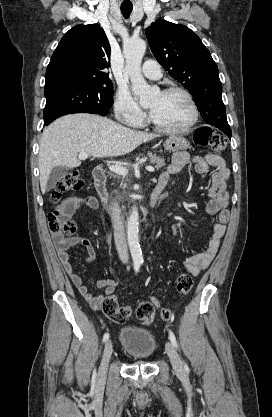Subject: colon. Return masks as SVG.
Masks as SVG:
<instances>
[{
  "label": "colon",
  "mask_w": 272,
  "mask_h": 417,
  "mask_svg": "<svg viewBox=\"0 0 272 417\" xmlns=\"http://www.w3.org/2000/svg\"><path fill=\"white\" fill-rule=\"evenodd\" d=\"M194 143L197 146L207 147L214 152H222L225 149V139L218 134L213 128L201 126L194 132ZM83 185V181L78 172H71L64 175L52 191L50 199L53 203H57L65 192L79 190ZM48 226L50 232L54 236L72 235L76 226L71 221H61L60 214L54 210L48 214ZM193 287V279L189 274H180L176 281V290L179 295L186 296ZM158 309L163 320L169 321L173 318L174 312L169 308H163L160 301L152 296L149 300L141 302L136 310V318L143 325H149L155 317V310ZM102 311L111 321L115 323H124L132 314L129 306L120 305L116 296L110 295L106 297L102 303Z\"/></svg>",
  "instance_id": "colon-1"
}]
</instances>
